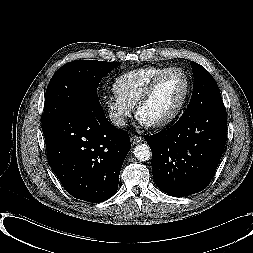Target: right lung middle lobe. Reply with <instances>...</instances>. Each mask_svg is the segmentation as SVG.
<instances>
[{
  "label": "right lung middle lobe",
  "mask_w": 253,
  "mask_h": 253,
  "mask_svg": "<svg viewBox=\"0 0 253 253\" xmlns=\"http://www.w3.org/2000/svg\"><path fill=\"white\" fill-rule=\"evenodd\" d=\"M119 62L75 60L63 65L51 78L45 95L43 132L72 110L83 105H100L97 87Z\"/></svg>",
  "instance_id": "right-lung-middle-lobe-1"
}]
</instances>
